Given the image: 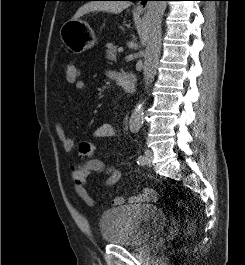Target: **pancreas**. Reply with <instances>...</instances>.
Returning <instances> with one entry per match:
<instances>
[{
    "mask_svg": "<svg viewBox=\"0 0 245 265\" xmlns=\"http://www.w3.org/2000/svg\"><path fill=\"white\" fill-rule=\"evenodd\" d=\"M106 47H107V50H106L105 57L110 61H116L117 46H115L113 43H107Z\"/></svg>",
    "mask_w": 245,
    "mask_h": 265,
    "instance_id": "obj_1",
    "label": "pancreas"
}]
</instances>
